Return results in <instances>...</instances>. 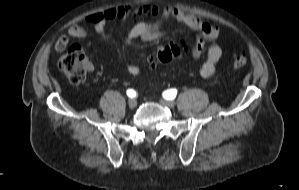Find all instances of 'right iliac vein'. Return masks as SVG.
I'll use <instances>...</instances> for the list:
<instances>
[{
    "instance_id": "63e3f726",
    "label": "right iliac vein",
    "mask_w": 299,
    "mask_h": 190,
    "mask_svg": "<svg viewBox=\"0 0 299 190\" xmlns=\"http://www.w3.org/2000/svg\"><path fill=\"white\" fill-rule=\"evenodd\" d=\"M128 105H129V107L130 108H135L136 107V105H137V100L135 99V98H131V99H129V101H128Z\"/></svg>"
}]
</instances>
